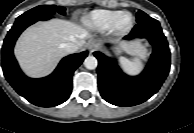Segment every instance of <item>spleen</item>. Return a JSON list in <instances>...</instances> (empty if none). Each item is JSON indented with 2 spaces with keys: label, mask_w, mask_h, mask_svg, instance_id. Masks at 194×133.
Instances as JSON below:
<instances>
[{
  "label": "spleen",
  "mask_w": 194,
  "mask_h": 133,
  "mask_svg": "<svg viewBox=\"0 0 194 133\" xmlns=\"http://www.w3.org/2000/svg\"><path fill=\"white\" fill-rule=\"evenodd\" d=\"M120 65L124 72L129 75H137L143 69V63L140 57H135L134 59H128L125 57H121L119 59Z\"/></svg>",
  "instance_id": "1"
}]
</instances>
